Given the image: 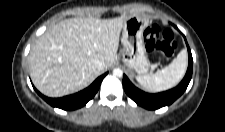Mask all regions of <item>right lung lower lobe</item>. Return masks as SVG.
I'll use <instances>...</instances> for the list:
<instances>
[{
	"instance_id": "right-lung-lower-lobe-1",
	"label": "right lung lower lobe",
	"mask_w": 225,
	"mask_h": 132,
	"mask_svg": "<svg viewBox=\"0 0 225 132\" xmlns=\"http://www.w3.org/2000/svg\"><path fill=\"white\" fill-rule=\"evenodd\" d=\"M107 75V73L98 77L89 87L86 89L69 96L62 98H48L37 90L36 92L51 106L61 108L63 110H75L84 106L89 100H91L97 93L102 79Z\"/></svg>"
}]
</instances>
